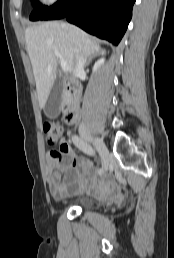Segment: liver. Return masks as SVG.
<instances>
[{
  "label": "liver",
  "instance_id": "6515ba94",
  "mask_svg": "<svg viewBox=\"0 0 174 258\" xmlns=\"http://www.w3.org/2000/svg\"><path fill=\"white\" fill-rule=\"evenodd\" d=\"M27 51L33 68L40 108H43L55 82L58 52L74 75L77 53L85 57L100 49L80 28L56 21L31 26L25 30Z\"/></svg>",
  "mask_w": 174,
  "mask_h": 258
}]
</instances>
